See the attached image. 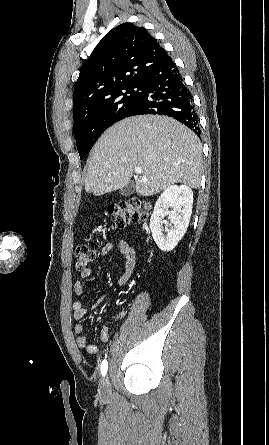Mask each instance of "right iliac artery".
I'll return each mask as SVG.
<instances>
[{"mask_svg":"<svg viewBox=\"0 0 269 445\" xmlns=\"http://www.w3.org/2000/svg\"><path fill=\"white\" fill-rule=\"evenodd\" d=\"M107 369H108V362H107V360H103L102 363H101V374H102V376L106 375Z\"/></svg>","mask_w":269,"mask_h":445,"instance_id":"right-iliac-artery-1","label":"right iliac artery"}]
</instances>
